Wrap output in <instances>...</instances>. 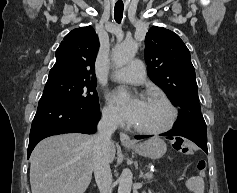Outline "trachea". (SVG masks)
Listing matches in <instances>:
<instances>
[{
    "label": "trachea",
    "mask_w": 237,
    "mask_h": 193,
    "mask_svg": "<svg viewBox=\"0 0 237 193\" xmlns=\"http://www.w3.org/2000/svg\"><path fill=\"white\" fill-rule=\"evenodd\" d=\"M123 7L121 6H115L114 9V19L117 23H120L123 17Z\"/></svg>",
    "instance_id": "trachea-1"
}]
</instances>
